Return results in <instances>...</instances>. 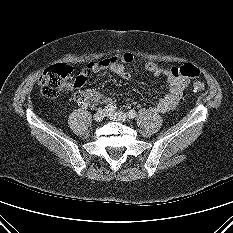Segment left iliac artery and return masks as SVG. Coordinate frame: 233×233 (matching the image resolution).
<instances>
[{"label": "left iliac artery", "instance_id": "obj_1", "mask_svg": "<svg viewBox=\"0 0 233 233\" xmlns=\"http://www.w3.org/2000/svg\"><path fill=\"white\" fill-rule=\"evenodd\" d=\"M136 115H137V113H136L135 110H129L127 112V116H128L129 119H134L136 117Z\"/></svg>", "mask_w": 233, "mask_h": 233}]
</instances>
